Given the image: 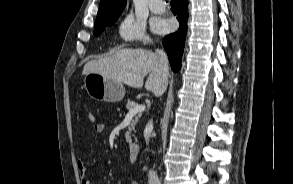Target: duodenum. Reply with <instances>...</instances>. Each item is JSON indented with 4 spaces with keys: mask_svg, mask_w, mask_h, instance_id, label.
Returning <instances> with one entry per match:
<instances>
[{
    "mask_svg": "<svg viewBox=\"0 0 293 184\" xmlns=\"http://www.w3.org/2000/svg\"><path fill=\"white\" fill-rule=\"evenodd\" d=\"M140 147L137 143L132 142L129 144V157L131 161H136L139 155Z\"/></svg>",
    "mask_w": 293,
    "mask_h": 184,
    "instance_id": "obj_1",
    "label": "duodenum"
}]
</instances>
